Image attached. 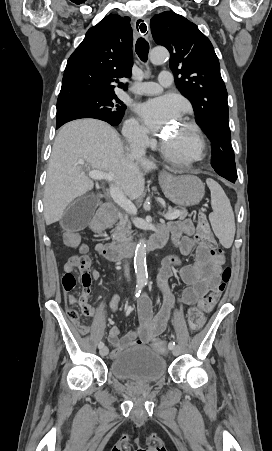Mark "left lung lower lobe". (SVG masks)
<instances>
[{
	"label": "left lung lower lobe",
	"instance_id": "left-lung-lower-lobe-1",
	"mask_svg": "<svg viewBox=\"0 0 272 451\" xmlns=\"http://www.w3.org/2000/svg\"><path fill=\"white\" fill-rule=\"evenodd\" d=\"M226 179L229 180V181H231V182H235V180H236L237 178L226 177Z\"/></svg>",
	"mask_w": 272,
	"mask_h": 451
}]
</instances>
